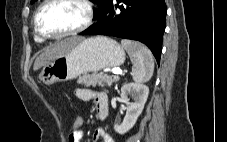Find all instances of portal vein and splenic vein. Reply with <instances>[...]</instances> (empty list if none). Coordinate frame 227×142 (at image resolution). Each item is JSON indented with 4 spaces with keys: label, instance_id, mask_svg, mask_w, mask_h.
Instances as JSON below:
<instances>
[{
    "label": "portal vein and splenic vein",
    "instance_id": "18ae733b",
    "mask_svg": "<svg viewBox=\"0 0 227 142\" xmlns=\"http://www.w3.org/2000/svg\"><path fill=\"white\" fill-rule=\"evenodd\" d=\"M113 74H115L116 76L122 75L123 74V71L122 70H114L113 71Z\"/></svg>",
    "mask_w": 227,
    "mask_h": 142
}]
</instances>
